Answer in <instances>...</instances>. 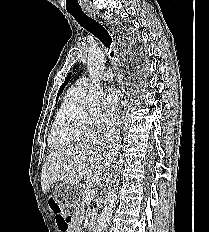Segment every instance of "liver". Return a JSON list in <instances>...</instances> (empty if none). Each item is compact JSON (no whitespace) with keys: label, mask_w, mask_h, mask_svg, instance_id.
I'll return each instance as SVG.
<instances>
[{"label":"liver","mask_w":209,"mask_h":232,"mask_svg":"<svg viewBox=\"0 0 209 232\" xmlns=\"http://www.w3.org/2000/svg\"><path fill=\"white\" fill-rule=\"evenodd\" d=\"M116 150L115 141L99 138L52 152L42 166L43 193L58 181L75 185L84 179L87 184H98L113 161Z\"/></svg>","instance_id":"6515ba94"}]
</instances>
